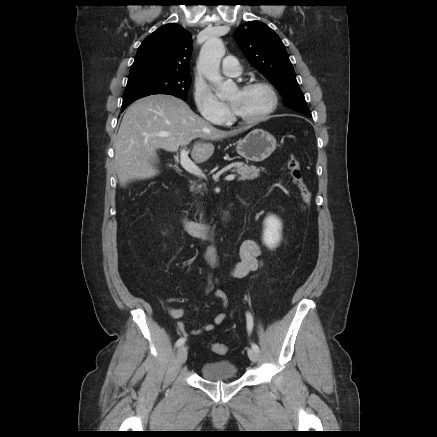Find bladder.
<instances>
[{
    "instance_id": "31cf9c89",
    "label": "bladder",
    "mask_w": 437,
    "mask_h": 437,
    "mask_svg": "<svg viewBox=\"0 0 437 437\" xmlns=\"http://www.w3.org/2000/svg\"><path fill=\"white\" fill-rule=\"evenodd\" d=\"M201 375L207 380H229L238 376V368L229 361L206 362L201 366Z\"/></svg>"
}]
</instances>
